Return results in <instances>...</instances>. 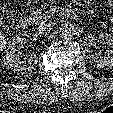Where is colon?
<instances>
[{
	"instance_id": "obj_1",
	"label": "colon",
	"mask_w": 113,
	"mask_h": 113,
	"mask_svg": "<svg viewBox=\"0 0 113 113\" xmlns=\"http://www.w3.org/2000/svg\"><path fill=\"white\" fill-rule=\"evenodd\" d=\"M4 44H5V37H4L3 32L0 31V50Z\"/></svg>"
}]
</instances>
